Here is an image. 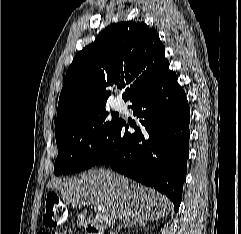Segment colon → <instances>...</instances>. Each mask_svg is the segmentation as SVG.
Returning <instances> with one entry per match:
<instances>
[{"mask_svg":"<svg viewBox=\"0 0 241 234\" xmlns=\"http://www.w3.org/2000/svg\"><path fill=\"white\" fill-rule=\"evenodd\" d=\"M67 208L55 194H49L46 199V208L43 216L44 225L54 228L67 219ZM44 234V233H41Z\"/></svg>","mask_w":241,"mask_h":234,"instance_id":"colon-1","label":"colon"}]
</instances>
